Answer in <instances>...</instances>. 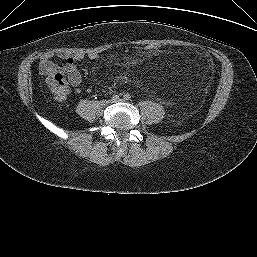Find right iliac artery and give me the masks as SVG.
I'll use <instances>...</instances> for the list:
<instances>
[{"mask_svg": "<svg viewBox=\"0 0 257 257\" xmlns=\"http://www.w3.org/2000/svg\"><path fill=\"white\" fill-rule=\"evenodd\" d=\"M112 100H113V101L119 100V95H117V94L113 95V96H112Z\"/></svg>", "mask_w": 257, "mask_h": 257, "instance_id": "82829eb1", "label": "right iliac artery"}]
</instances>
